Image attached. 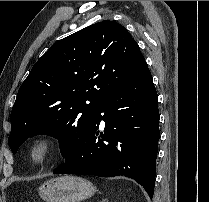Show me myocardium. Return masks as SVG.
<instances>
[{"mask_svg":"<svg viewBox=\"0 0 209 202\" xmlns=\"http://www.w3.org/2000/svg\"><path fill=\"white\" fill-rule=\"evenodd\" d=\"M56 139L51 133H41L34 137L29 145L30 161L37 165H44L56 150Z\"/></svg>","mask_w":209,"mask_h":202,"instance_id":"f54148a6","label":"myocardium"}]
</instances>
